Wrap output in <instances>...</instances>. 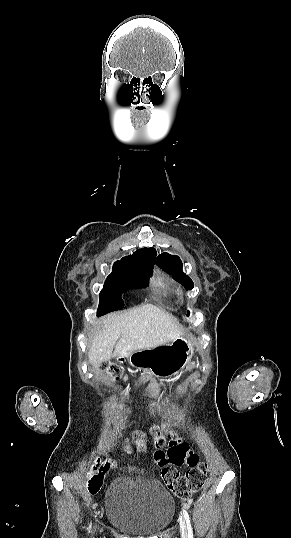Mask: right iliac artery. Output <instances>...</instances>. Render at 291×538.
I'll return each mask as SVG.
<instances>
[{"mask_svg": "<svg viewBox=\"0 0 291 538\" xmlns=\"http://www.w3.org/2000/svg\"><path fill=\"white\" fill-rule=\"evenodd\" d=\"M90 530H91V524H90L89 527H88V531H89V532H90Z\"/></svg>", "mask_w": 291, "mask_h": 538, "instance_id": "right-iliac-artery-1", "label": "right iliac artery"}]
</instances>
